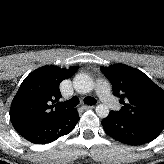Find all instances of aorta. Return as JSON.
Segmentation results:
<instances>
[{
  "label": "aorta",
  "mask_w": 164,
  "mask_h": 164,
  "mask_svg": "<svg viewBox=\"0 0 164 164\" xmlns=\"http://www.w3.org/2000/svg\"><path fill=\"white\" fill-rule=\"evenodd\" d=\"M75 88L81 93H89L95 88L93 79L87 74L78 75L75 79ZM96 113L99 116H106L109 113V108L106 104H99L96 107Z\"/></svg>",
  "instance_id": "aorta-1"
}]
</instances>
